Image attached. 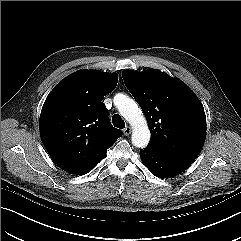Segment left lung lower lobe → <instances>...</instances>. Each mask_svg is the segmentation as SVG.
Masks as SVG:
<instances>
[{"mask_svg": "<svg viewBox=\"0 0 241 241\" xmlns=\"http://www.w3.org/2000/svg\"><path fill=\"white\" fill-rule=\"evenodd\" d=\"M140 154L147 168L158 177L175 176L194 161L173 157L149 146L144 150L141 149Z\"/></svg>", "mask_w": 241, "mask_h": 241, "instance_id": "obj_1", "label": "left lung lower lobe"}]
</instances>
